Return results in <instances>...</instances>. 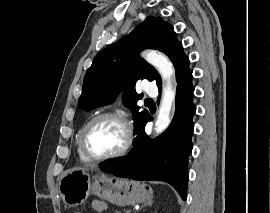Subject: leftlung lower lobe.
I'll return each instance as SVG.
<instances>
[{"mask_svg":"<svg viewBox=\"0 0 270 213\" xmlns=\"http://www.w3.org/2000/svg\"><path fill=\"white\" fill-rule=\"evenodd\" d=\"M192 77L189 67L176 77L175 115L168 129L150 140L144 131L146 123L152 120L148 115L137 127L133 151L102 165V171L133 180L165 181L186 200L187 164L194 130L192 118L196 112Z\"/></svg>","mask_w":270,"mask_h":213,"instance_id":"left-lung-lower-lobe-1","label":"left lung lower lobe"}]
</instances>
